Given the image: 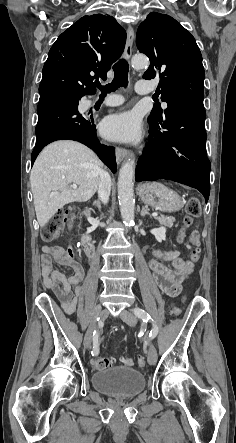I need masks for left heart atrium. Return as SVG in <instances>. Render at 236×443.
<instances>
[{
  "label": "left heart atrium",
  "instance_id": "39dd6f15",
  "mask_svg": "<svg viewBox=\"0 0 236 443\" xmlns=\"http://www.w3.org/2000/svg\"><path fill=\"white\" fill-rule=\"evenodd\" d=\"M106 137L120 142H135L141 138V121L132 111L117 113L107 117L103 124Z\"/></svg>",
  "mask_w": 236,
  "mask_h": 443
}]
</instances>
